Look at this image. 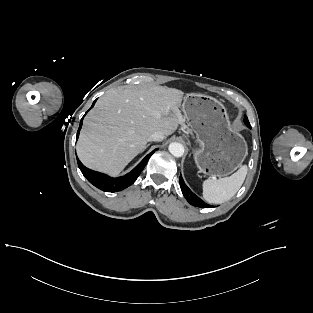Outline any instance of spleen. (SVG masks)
Here are the masks:
<instances>
[{"label":"spleen","mask_w":313,"mask_h":313,"mask_svg":"<svg viewBox=\"0 0 313 313\" xmlns=\"http://www.w3.org/2000/svg\"><path fill=\"white\" fill-rule=\"evenodd\" d=\"M248 168L246 165L229 177L207 179L203 182V198L208 203L221 204L230 200L241 188Z\"/></svg>","instance_id":"obj_1"}]
</instances>
